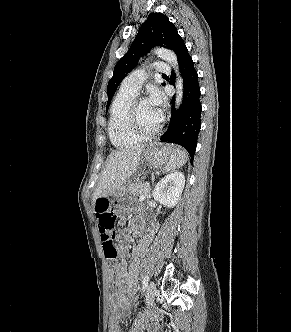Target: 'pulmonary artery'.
<instances>
[{"label":"pulmonary artery","instance_id":"pulmonary-artery-1","mask_svg":"<svg viewBox=\"0 0 291 332\" xmlns=\"http://www.w3.org/2000/svg\"><path fill=\"white\" fill-rule=\"evenodd\" d=\"M153 67L158 73L167 74L170 72V67L165 62H156L153 64ZM146 78L147 73L145 70H135L123 80L121 88L137 94Z\"/></svg>","mask_w":291,"mask_h":332}]
</instances>
